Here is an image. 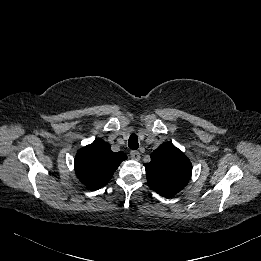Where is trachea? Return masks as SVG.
Here are the masks:
<instances>
[{"label":"trachea","instance_id":"1","mask_svg":"<svg viewBox=\"0 0 261 261\" xmlns=\"http://www.w3.org/2000/svg\"><path fill=\"white\" fill-rule=\"evenodd\" d=\"M128 146H129V148H131L133 150L138 149L139 143H138V137L136 134L130 135L129 140H128Z\"/></svg>","mask_w":261,"mask_h":261}]
</instances>
